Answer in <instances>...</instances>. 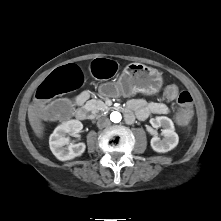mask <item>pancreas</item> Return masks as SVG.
I'll use <instances>...</instances> for the list:
<instances>
[{
	"mask_svg": "<svg viewBox=\"0 0 221 221\" xmlns=\"http://www.w3.org/2000/svg\"><path fill=\"white\" fill-rule=\"evenodd\" d=\"M86 107L93 113H98L100 110H105L107 105L102 100H90L86 103Z\"/></svg>",
	"mask_w": 221,
	"mask_h": 221,
	"instance_id": "cf45deb5",
	"label": "pancreas"
}]
</instances>
